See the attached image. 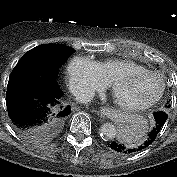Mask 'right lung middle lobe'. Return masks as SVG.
<instances>
[{
  "label": "right lung middle lobe",
  "instance_id": "dd1d6c3e",
  "mask_svg": "<svg viewBox=\"0 0 177 177\" xmlns=\"http://www.w3.org/2000/svg\"><path fill=\"white\" fill-rule=\"evenodd\" d=\"M74 52V49L62 44H42L26 52L15 67L24 64L26 61H30L44 66L57 74L59 72V68ZM58 130L53 132L55 133Z\"/></svg>",
  "mask_w": 177,
  "mask_h": 177
}]
</instances>
